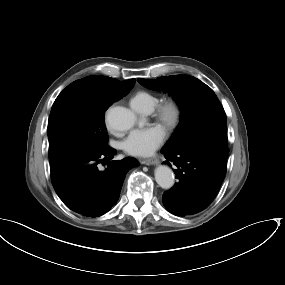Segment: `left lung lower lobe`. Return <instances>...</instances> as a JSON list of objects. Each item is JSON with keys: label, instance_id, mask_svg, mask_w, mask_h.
Listing matches in <instances>:
<instances>
[{"label": "left lung lower lobe", "instance_id": "0a47b994", "mask_svg": "<svg viewBox=\"0 0 285 285\" xmlns=\"http://www.w3.org/2000/svg\"><path fill=\"white\" fill-rule=\"evenodd\" d=\"M226 146L203 143L177 151L161 150L164 163L173 169L178 183L164 192L163 204L176 216H188L208 207L226 175Z\"/></svg>", "mask_w": 285, "mask_h": 285}]
</instances>
